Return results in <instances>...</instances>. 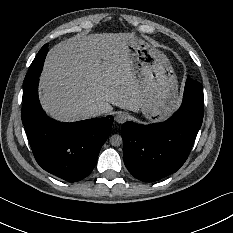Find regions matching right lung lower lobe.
I'll use <instances>...</instances> for the list:
<instances>
[{
	"mask_svg": "<svg viewBox=\"0 0 233 233\" xmlns=\"http://www.w3.org/2000/svg\"><path fill=\"white\" fill-rule=\"evenodd\" d=\"M44 46L42 64L48 52V44ZM38 77L24 88L21 111L34 157L47 172L69 182L80 181L94 169L99 151L111 132L113 117L74 123L50 119L39 103Z\"/></svg>",
	"mask_w": 233,
	"mask_h": 233,
	"instance_id": "obj_1",
	"label": "right lung lower lobe"
}]
</instances>
